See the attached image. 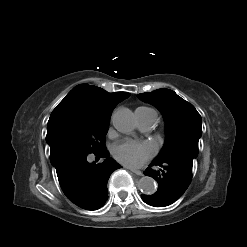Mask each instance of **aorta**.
Returning <instances> with one entry per match:
<instances>
[{
    "mask_svg": "<svg viewBox=\"0 0 247 247\" xmlns=\"http://www.w3.org/2000/svg\"><path fill=\"white\" fill-rule=\"evenodd\" d=\"M113 126L121 133L129 134L134 130L136 121L133 112L125 107L117 109L112 115ZM138 188L142 193L152 195L157 185L152 177L144 176L138 181Z\"/></svg>",
    "mask_w": 247,
    "mask_h": 247,
    "instance_id": "762f6f07",
    "label": "aorta"
}]
</instances>
